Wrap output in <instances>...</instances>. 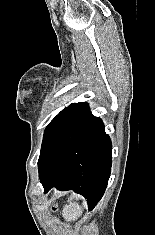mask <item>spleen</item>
<instances>
[{"label":"spleen","mask_w":155,"mask_h":235,"mask_svg":"<svg viewBox=\"0 0 155 235\" xmlns=\"http://www.w3.org/2000/svg\"><path fill=\"white\" fill-rule=\"evenodd\" d=\"M63 216L67 221H72L77 219L82 215L83 209L78 203H70L68 206L64 208Z\"/></svg>","instance_id":"obj_1"}]
</instances>
